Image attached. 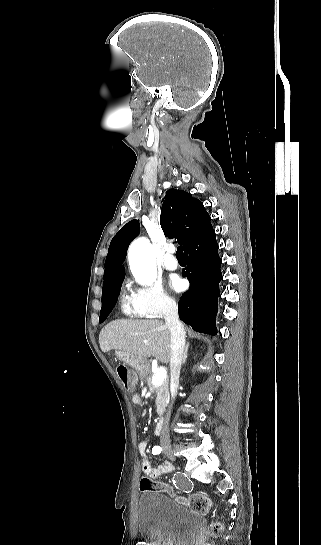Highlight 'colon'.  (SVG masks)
<instances>
[{"label":"colon","mask_w":321,"mask_h":545,"mask_svg":"<svg viewBox=\"0 0 321 545\" xmlns=\"http://www.w3.org/2000/svg\"><path fill=\"white\" fill-rule=\"evenodd\" d=\"M117 374L122 383L127 389H132L135 385V378L132 371L124 365H120L117 368ZM140 489L142 491H162L171 493L172 490L169 486L162 482L154 481L151 477L145 475L140 480ZM181 503L186 504L191 509L200 513H208L212 507L211 499L202 493L192 494L187 498H178ZM221 530V524L215 523L212 529L214 535L218 534Z\"/></svg>","instance_id":"5ec220e1"}]
</instances>
